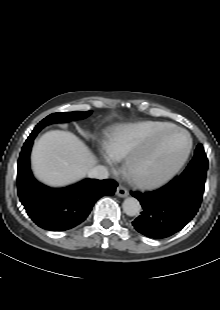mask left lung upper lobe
I'll list each match as a JSON object with an SVG mask.
<instances>
[{
    "instance_id": "5c2ea615",
    "label": "left lung upper lobe",
    "mask_w": 220,
    "mask_h": 310,
    "mask_svg": "<svg viewBox=\"0 0 220 310\" xmlns=\"http://www.w3.org/2000/svg\"><path fill=\"white\" fill-rule=\"evenodd\" d=\"M208 169V159L206 157L202 144H199L195 150L194 157L187 168L181 174L183 177H206Z\"/></svg>"
}]
</instances>
